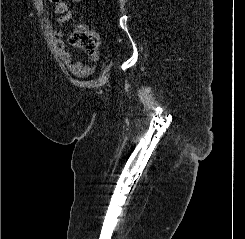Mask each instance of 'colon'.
Instances as JSON below:
<instances>
[{
    "instance_id": "colon-1",
    "label": "colon",
    "mask_w": 245,
    "mask_h": 239,
    "mask_svg": "<svg viewBox=\"0 0 245 239\" xmlns=\"http://www.w3.org/2000/svg\"><path fill=\"white\" fill-rule=\"evenodd\" d=\"M52 2L56 3L59 0H52ZM69 40L73 45L81 48L88 54L95 53L99 45L98 34L90 31H74L70 34Z\"/></svg>"
}]
</instances>
